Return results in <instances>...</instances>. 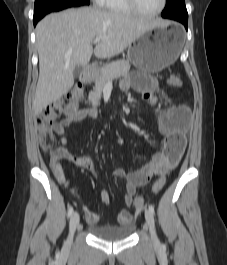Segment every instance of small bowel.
Masks as SVG:
<instances>
[{
	"mask_svg": "<svg viewBox=\"0 0 227 265\" xmlns=\"http://www.w3.org/2000/svg\"><path fill=\"white\" fill-rule=\"evenodd\" d=\"M126 76L120 83L121 91L125 92L129 89H134L143 95L144 100L148 104L155 105L157 103V98L154 95L157 82L154 78L148 76V72H127ZM77 107H85V104H81V99H68L67 102H64L62 113H67V115L52 128L53 132L61 137V144L56 148L50 149V168L58 183L67 188L69 186L60 165L61 160H69L76 166L85 169L92 167V161L88 156L73 155L67 148L66 129L75 122L97 116V110L94 108L77 109ZM189 119V109L184 105H173L160 113L158 127L160 134L163 136L162 150L137 170L126 172L121 168H115L112 171L113 177L126 181L122 196L126 206L130 207L134 204V196L138 187L145 185L158 174L174 166L169 159L171 156L180 158L185 147L183 133L188 127ZM71 192L75 195L72 189ZM100 197L103 203H109L110 198L107 191L103 190L100 193ZM83 211L89 224L98 223L99 216L97 213L87 207H83ZM132 218V214L127 209H122L118 213L117 220L119 224H127L132 221Z\"/></svg>",
	"mask_w": 227,
	"mask_h": 265,
	"instance_id": "obj_1",
	"label": "small bowel"
}]
</instances>
